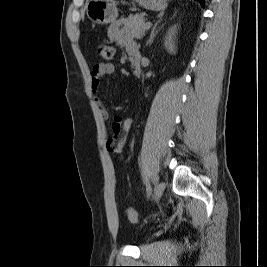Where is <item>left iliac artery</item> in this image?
Masks as SVG:
<instances>
[{"label":"left iliac artery","mask_w":267,"mask_h":267,"mask_svg":"<svg viewBox=\"0 0 267 267\" xmlns=\"http://www.w3.org/2000/svg\"><path fill=\"white\" fill-rule=\"evenodd\" d=\"M145 184H146V191H147V194L149 196L151 194V186H150V183L147 179L145 180Z\"/></svg>","instance_id":"1"}]
</instances>
